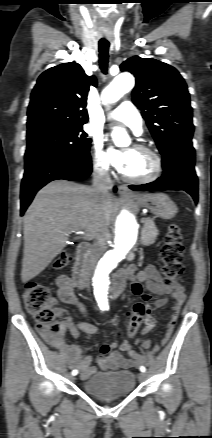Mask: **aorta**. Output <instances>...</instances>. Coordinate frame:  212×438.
Instances as JSON below:
<instances>
[{"label": "aorta", "mask_w": 212, "mask_h": 438, "mask_svg": "<svg viewBox=\"0 0 212 438\" xmlns=\"http://www.w3.org/2000/svg\"><path fill=\"white\" fill-rule=\"evenodd\" d=\"M134 78L130 73H121L103 90L102 100L105 104L118 101L124 94L134 87ZM115 128V132H120ZM138 223L133 213L122 210L115 222V245L107 251L99 261L95 270L90 273V285L100 306L108 305L110 287V273L126 258L138 240Z\"/></svg>", "instance_id": "aorta-1"}]
</instances>
